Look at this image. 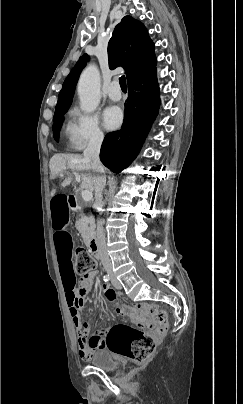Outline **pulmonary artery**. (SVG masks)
<instances>
[{"label": "pulmonary artery", "instance_id": "1", "mask_svg": "<svg viewBox=\"0 0 243 404\" xmlns=\"http://www.w3.org/2000/svg\"><path fill=\"white\" fill-rule=\"evenodd\" d=\"M108 96L113 101H120L122 98V92L120 84L117 80H113L107 90Z\"/></svg>", "mask_w": 243, "mask_h": 404}]
</instances>
